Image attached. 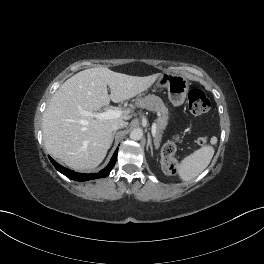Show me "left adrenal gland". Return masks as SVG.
<instances>
[{
    "mask_svg": "<svg viewBox=\"0 0 264 264\" xmlns=\"http://www.w3.org/2000/svg\"><path fill=\"white\" fill-rule=\"evenodd\" d=\"M148 140H147V145H146V148L148 150V148L150 147L151 149V153H152V150H153V146H152V138H151V135L148 133Z\"/></svg>",
    "mask_w": 264,
    "mask_h": 264,
    "instance_id": "1",
    "label": "left adrenal gland"
}]
</instances>
